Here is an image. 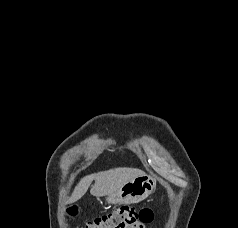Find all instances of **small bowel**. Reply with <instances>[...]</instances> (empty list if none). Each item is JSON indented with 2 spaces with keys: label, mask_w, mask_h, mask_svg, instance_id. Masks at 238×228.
<instances>
[{
  "label": "small bowel",
  "mask_w": 238,
  "mask_h": 228,
  "mask_svg": "<svg viewBox=\"0 0 238 228\" xmlns=\"http://www.w3.org/2000/svg\"><path fill=\"white\" fill-rule=\"evenodd\" d=\"M137 228H146L145 225H139Z\"/></svg>",
  "instance_id": "1"
}]
</instances>
